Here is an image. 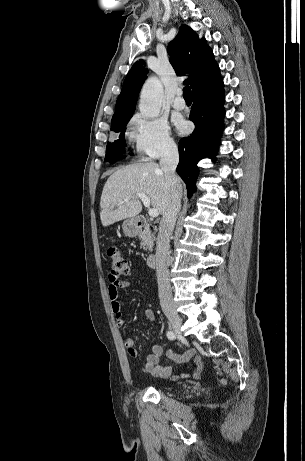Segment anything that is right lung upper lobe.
Returning <instances> with one entry per match:
<instances>
[{"label":"right lung upper lobe","mask_w":305,"mask_h":461,"mask_svg":"<svg viewBox=\"0 0 305 461\" xmlns=\"http://www.w3.org/2000/svg\"><path fill=\"white\" fill-rule=\"evenodd\" d=\"M168 53L170 62L178 75L190 74V78L186 79L184 84H189L192 91L219 73V67L206 40L199 39L198 35L187 25L179 28V33L168 45ZM147 73L144 60L140 59L134 63L117 99L111 127L132 117Z\"/></svg>","instance_id":"cb5924a9"}]
</instances>
